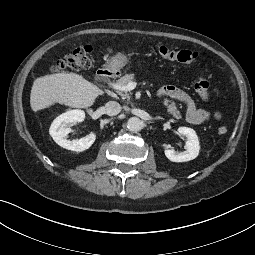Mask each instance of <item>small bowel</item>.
Here are the masks:
<instances>
[{
    "instance_id": "small-bowel-1",
    "label": "small bowel",
    "mask_w": 255,
    "mask_h": 255,
    "mask_svg": "<svg viewBox=\"0 0 255 255\" xmlns=\"http://www.w3.org/2000/svg\"><path fill=\"white\" fill-rule=\"evenodd\" d=\"M214 92L216 94L219 93L217 89H215ZM157 95L159 98H170L183 104L185 107L186 119L191 124L197 125L209 120H219L222 117V113L219 110L210 112L198 108L187 93L175 86H165L159 90Z\"/></svg>"
}]
</instances>
